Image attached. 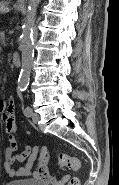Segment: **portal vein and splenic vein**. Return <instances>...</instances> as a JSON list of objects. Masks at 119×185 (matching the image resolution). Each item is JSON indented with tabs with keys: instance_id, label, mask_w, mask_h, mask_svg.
<instances>
[{
	"instance_id": "obj_1",
	"label": "portal vein and splenic vein",
	"mask_w": 119,
	"mask_h": 185,
	"mask_svg": "<svg viewBox=\"0 0 119 185\" xmlns=\"http://www.w3.org/2000/svg\"><path fill=\"white\" fill-rule=\"evenodd\" d=\"M9 33H10V34H12V33H13V31H11V30H10V31H9Z\"/></svg>"
}]
</instances>
